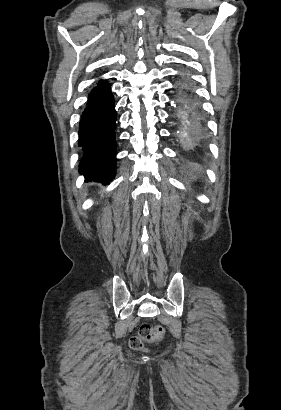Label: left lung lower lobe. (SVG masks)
Returning a JSON list of instances; mask_svg holds the SVG:
<instances>
[{
    "instance_id": "0a47b994",
    "label": "left lung lower lobe",
    "mask_w": 281,
    "mask_h": 410,
    "mask_svg": "<svg viewBox=\"0 0 281 410\" xmlns=\"http://www.w3.org/2000/svg\"><path fill=\"white\" fill-rule=\"evenodd\" d=\"M178 96L177 118L180 123L179 135L192 148H203L207 143V130L198 102L195 100L189 84L184 82Z\"/></svg>"
}]
</instances>
